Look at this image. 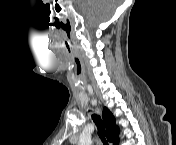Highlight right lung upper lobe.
Wrapping results in <instances>:
<instances>
[{
  "label": "right lung upper lobe",
  "mask_w": 176,
  "mask_h": 145,
  "mask_svg": "<svg viewBox=\"0 0 176 145\" xmlns=\"http://www.w3.org/2000/svg\"><path fill=\"white\" fill-rule=\"evenodd\" d=\"M103 121L106 124L105 135L107 140L112 142L113 145H117L119 142V128L115 125V118L107 108L103 110Z\"/></svg>",
  "instance_id": "obj_1"
}]
</instances>
